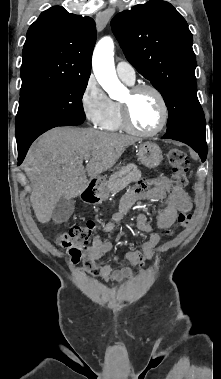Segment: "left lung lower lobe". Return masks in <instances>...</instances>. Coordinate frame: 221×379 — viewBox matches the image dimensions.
I'll return each instance as SVG.
<instances>
[{
	"mask_svg": "<svg viewBox=\"0 0 221 379\" xmlns=\"http://www.w3.org/2000/svg\"><path fill=\"white\" fill-rule=\"evenodd\" d=\"M164 139H174L177 141L184 142L191 146L196 152H198L201 157L202 162L205 161L207 157V144L206 138L197 136L195 134L177 131V132H167L164 136Z\"/></svg>",
	"mask_w": 221,
	"mask_h": 379,
	"instance_id": "1",
	"label": "left lung lower lobe"
}]
</instances>
